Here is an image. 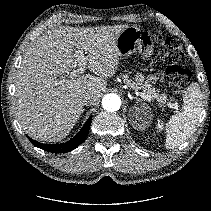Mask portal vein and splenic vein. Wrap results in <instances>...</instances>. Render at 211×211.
I'll return each instance as SVG.
<instances>
[{
    "instance_id": "obj_1",
    "label": "portal vein and splenic vein",
    "mask_w": 211,
    "mask_h": 211,
    "mask_svg": "<svg viewBox=\"0 0 211 211\" xmlns=\"http://www.w3.org/2000/svg\"><path fill=\"white\" fill-rule=\"evenodd\" d=\"M75 57H76V59H77V61H78V69H76V70H74L73 72H71L70 73V77L71 78H74V77H76L77 75H79V74H81V73H83L84 71H85V69H86V57L84 56V54H83V52L81 51V50H77L76 52H75ZM141 98H143V99H145V100H150L151 98L147 95V94H145L144 92H138L137 93ZM169 107L170 108H174V109H176L177 108V106L175 105V104H169Z\"/></svg>"
}]
</instances>
